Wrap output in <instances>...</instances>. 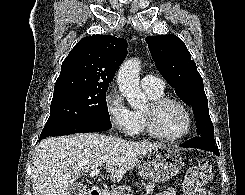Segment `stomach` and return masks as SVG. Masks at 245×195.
Listing matches in <instances>:
<instances>
[{
	"instance_id": "1",
	"label": "stomach",
	"mask_w": 245,
	"mask_h": 195,
	"mask_svg": "<svg viewBox=\"0 0 245 195\" xmlns=\"http://www.w3.org/2000/svg\"><path fill=\"white\" fill-rule=\"evenodd\" d=\"M182 166L180 153L170 146L154 148L142 155L138 161L140 176L153 183L170 180L177 175Z\"/></svg>"
}]
</instances>
